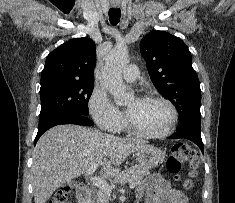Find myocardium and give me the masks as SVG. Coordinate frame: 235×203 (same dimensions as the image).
Masks as SVG:
<instances>
[{
    "label": "myocardium",
    "mask_w": 235,
    "mask_h": 203,
    "mask_svg": "<svg viewBox=\"0 0 235 203\" xmlns=\"http://www.w3.org/2000/svg\"><path fill=\"white\" fill-rule=\"evenodd\" d=\"M141 99L146 100V101H157L166 105L170 112V118H169L168 124L160 132H155V133L145 132V131L138 129L131 122V120L129 119V116L127 115L126 120H125L127 130L136 136L146 138V139H161V138H165L171 135L178 121V112H177L175 105L170 100L166 99L165 97L158 96V95H145Z\"/></svg>",
    "instance_id": "myocardium-1"
}]
</instances>
